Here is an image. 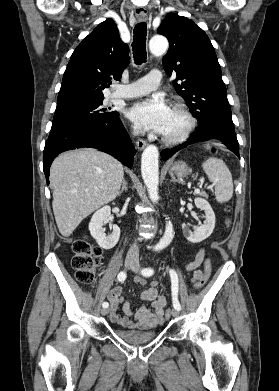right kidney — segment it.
<instances>
[{
    "mask_svg": "<svg viewBox=\"0 0 279 391\" xmlns=\"http://www.w3.org/2000/svg\"><path fill=\"white\" fill-rule=\"evenodd\" d=\"M110 215L111 208L109 206H104L93 214L89 223L91 236L103 249L113 248L120 238V228L109 222ZM104 223H109L110 230L112 231L108 236L106 235L105 228L103 227Z\"/></svg>",
    "mask_w": 279,
    "mask_h": 391,
    "instance_id": "1",
    "label": "right kidney"
}]
</instances>
